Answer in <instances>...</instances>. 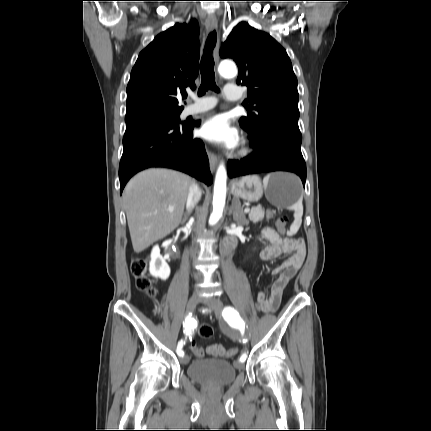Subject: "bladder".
Here are the masks:
<instances>
[{"label":"bladder","mask_w":431,"mask_h":431,"mask_svg":"<svg viewBox=\"0 0 431 431\" xmlns=\"http://www.w3.org/2000/svg\"><path fill=\"white\" fill-rule=\"evenodd\" d=\"M187 375L199 385L220 388L226 387L235 381L237 370L229 361L206 358L191 362L187 368Z\"/></svg>","instance_id":"obj_1"}]
</instances>
